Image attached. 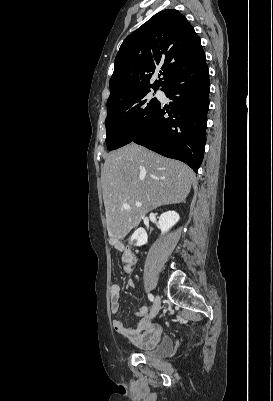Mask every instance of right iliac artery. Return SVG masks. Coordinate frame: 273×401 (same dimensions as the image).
<instances>
[{
    "instance_id": "82829eb1",
    "label": "right iliac artery",
    "mask_w": 273,
    "mask_h": 401,
    "mask_svg": "<svg viewBox=\"0 0 273 401\" xmlns=\"http://www.w3.org/2000/svg\"><path fill=\"white\" fill-rule=\"evenodd\" d=\"M148 298L150 301H152V302L154 301V296L152 294H148Z\"/></svg>"
}]
</instances>
